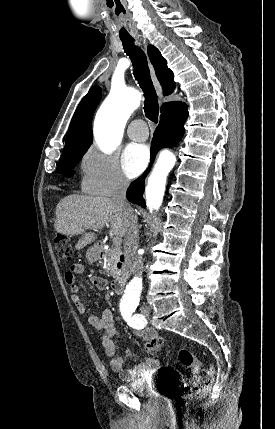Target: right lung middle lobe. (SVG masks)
I'll return each mask as SVG.
<instances>
[{
    "instance_id": "obj_1",
    "label": "right lung middle lobe",
    "mask_w": 275,
    "mask_h": 429,
    "mask_svg": "<svg viewBox=\"0 0 275 429\" xmlns=\"http://www.w3.org/2000/svg\"><path fill=\"white\" fill-rule=\"evenodd\" d=\"M84 153L85 152L63 156L57 168V173H62V174L70 173L68 176H71L73 174L71 173V171L81 160Z\"/></svg>"
}]
</instances>
